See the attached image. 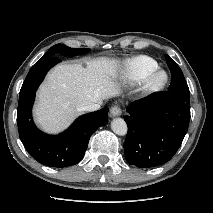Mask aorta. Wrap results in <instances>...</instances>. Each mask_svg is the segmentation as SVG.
Returning a JSON list of instances; mask_svg holds the SVG:
<instances>
[{"instance_id":"762f6f07","label":"aorta","mask_w":213,"mask_h":213,"mask_svg":"<svg viewBox=\"0 0 213 213\" xmlns=\"http://www.w3.org/2000/svg\"><path fill=\"white\" fill-rule=\"evenodd\" d=\"M111 129L117 135L123 136L127 134V124L122 118H115L111 122Z\"/></svg>"}]
</instances>
